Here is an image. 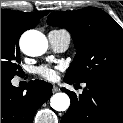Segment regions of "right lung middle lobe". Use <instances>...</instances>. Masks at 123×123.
I'll use <instances>...</instances> for the list:
<instances>
[{
	"instance_id": "1",
	"label": "right lung middle lobe",
	"mask_w": 123,
	"mask_h": 123,
	"mask_svg": "<svg viewBox=\"0 0 123 123\" xmlns=\"http://www.w3.org/2000/svg\"><path fill=\"white\" fill-rule=\"evenodd\" d=\"M21 34L15 21L1 18V81H11L21 71L18 45Z\"/></svg>"
}]
</instances>
